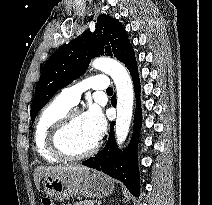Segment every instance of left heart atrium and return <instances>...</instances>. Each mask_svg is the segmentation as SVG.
I'll return each mask as SVG.
<instances>
[{
  "label": "left heart atrium",
  "mask_w": 212,
  "mask_h": 205,
  "mask_svg": "<svg viewBox=\"0 0 212 205\" xmlns=\"http://www.w3.org/2000/svg\"><path fill=\"white\" fill-rule=\"evenodd\" d=\"M82 118L92 136L99 140L106 130V120L101 110L92 106L82 114Z\"/></svg>",
  "instance_id": "39dd6f15"
}]
</instances>
